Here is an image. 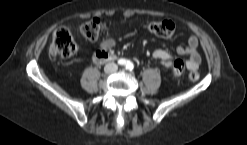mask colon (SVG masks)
I'll return each mask as SVG.
<instances>
[{
    "label": "colon",
    "mask_w": 247,
    "mask_h": 145,
    "mask_svg": "<svg viewBox=\"0 0 247 145\" xmlns=\"http://www.w3.org/2000/svg\"><path fill=\"white\" fill-rule=\"evenodd\" d=\"M149 32L160 37H171L175 32V25L170 20L149 21L147 23ZM105 30V22L102 18L94 17L84 22L80 31L82 35L89 40H96L100 38ZM77 50V44L74 40L71 29L64 25L57 28L53 34L52 42L50 44V54L56 58H68L72 56ZM173 73L180 76L185 68L182 60H175L172 63ZM189 80L195 82L199 79L197 72L189 74Z\"/></svg>",
    "instance_id": "5ec220e1"
}]
</instances>
